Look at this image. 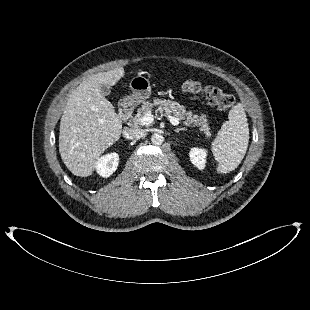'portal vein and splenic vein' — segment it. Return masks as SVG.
Listing matches in <instances>:
<instances>
[{"mask_svg":"<svg viewBox=\"0 0 310 310\" xmlns=\"http://www.w3.org/2000/svg\"><path fill=\"white\" fill-rule=\"evenodd\" d=\"M167 118L169 119L170 123L174 126H177L179 124V120L171 115H167ZM154 120V116L151 112H147L143 115V117L140 119V122L142 125H150Z\"/></svg>","mask_w":310,"mask_h":310,"instance_id":"portal-vein-and-splenic-vein-1","label":"portal vein and splenic vein"}]
</instances>
